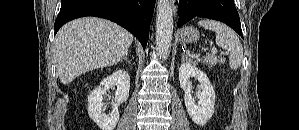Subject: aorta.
<instances>
[{"label":"aorta","mask_w":299,"mask_h":130,"mask_svg":"<svg viewBox=\"0 0 299 130\" xmlns=\"http://www.w3.org/2000/svg\"><path fill=\"white\" fill-rule=\"evenodd\" d=\"M173 34V11L169 0H159L156 16V47L160 58L167 59Z\"/></svg>","instance_id":"obj_1"}]
</instances>
